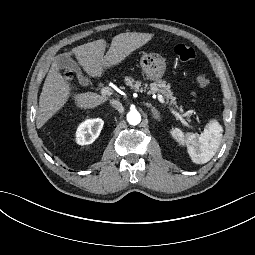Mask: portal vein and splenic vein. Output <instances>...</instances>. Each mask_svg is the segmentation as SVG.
<instances>
[{
	"mask_svg": "<svg viewBox=\"0 0 255 255\" xmlns=\"http://www.w3.org/2000/svg\"><path fill=\"white\" fill-rule=\"evenodd\" d=\"M100 94L101 95H110L111 94V89L109 87H103L101 90H100ZM159 99V102L164 105V106H167L166 105V102L164 101V98L162 96H159L158 97ZM169 111L182 123V125L184 127H188L190 128L191 125L183 118L182 115H180L176 110H174L173 108L171 107H168Z\"/></svg>",
	"mask_w": 255,
	"mask_h": 255,
	"instance_id": "18ae733b",
	"label": "portal vein and splenic vein"
}]
</instances>
